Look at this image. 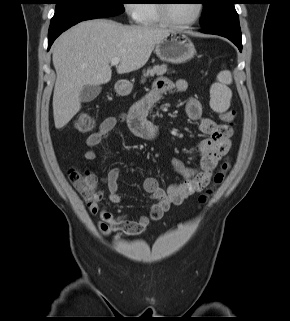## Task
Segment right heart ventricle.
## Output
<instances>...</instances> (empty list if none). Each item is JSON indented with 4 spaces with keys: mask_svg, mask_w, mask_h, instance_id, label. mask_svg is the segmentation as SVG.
<instances>
[{
    "mask_svg": "<svg viewBox=\"0 0 290 321\" xmlns=\"http://www.w3.org/2000/svg\"><path fill=\"white\" fill-rule=\"evenodd\" d=\"M142 3L137 5L138 23L142 25H159L163 23L158 14L156 0H140Z\"/></svg>",
    "mask_w": 290,
    "mask_h": 321,
    "instance_id": "obj_1",
    "label": "right heart ventricle"
}]
</instances>
